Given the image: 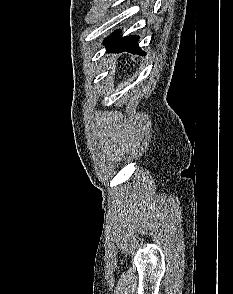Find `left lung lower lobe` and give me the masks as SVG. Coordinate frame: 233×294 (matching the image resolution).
I'll list each match as a JSON object with an SVG mask.
<instances>
[{"mask_svg": "<svg viewBox=\"0 0 233 294\" xmlns=\"http://www.w3.org/2000/svg\"><path fill=\"white\" fill-rule=\"evenodd\" d=\"M120 30L114 32L109 36L105 41L104 45L106 46L107 52L119 53L122 51L131 52L134 54L145 55L138 46V37L137 36H128V37H119Z\"/></svg>", "mask_w": 233, "mask_h": 294, "instance_id": "obj_1", "label": "left lung lower lobe"}]
</instances>
